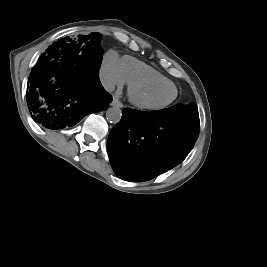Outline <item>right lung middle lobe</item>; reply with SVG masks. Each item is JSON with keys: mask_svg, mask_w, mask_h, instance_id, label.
<instances>
[{"mask_svg": "<svg viewBox=\"0 0 267 267\" xmlns=\"http://www.w3.org/2000/svg\"><path fill=\"white\" fill-rule=\"evenodd\" d=\"M100 39L101 35L97 32L87 36H79L77 41H72L69 37H66L64 39L65 41L58 40L51 47H49L47 51L57 48L61 44H67L74 49H77L79 52L85 53L86 55H89L101 62L103 50L99 45Z\"/></svg>", "mask_w": 267, "mask_h": 267, "instance_id": "right-lung-middle-lobe-1", "label": "right lung middle lobe"}]
</instances>
